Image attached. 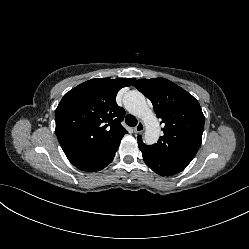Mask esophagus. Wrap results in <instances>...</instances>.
Returning a JSON list of instances; mask_svg holds the SVG:
<instances>
[{"instance_id": "obj_1", "label": "esophagus", "mask_w": 249, "mask_h": 249, "mask_svg": "<svg viewBox=\"0 0 249 249\" xmlns=\"http://www.w3.org/2000/svg\"><path fill=\"white\" fill-rule=\"evenodd\" d=\"M145 129L144 123L142 121H139L138 124L135 126L134 131L136 133H141Z\"/></svg>"}]
</instances>
